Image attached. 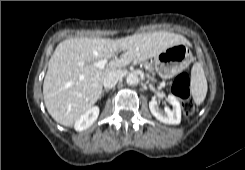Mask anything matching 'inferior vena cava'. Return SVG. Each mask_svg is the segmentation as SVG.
<instances>
[{"label":"inferior vena cava","mask_w":245,"mask_h":170,"mask_svg":"<svg viewBox=\"0 0 245 170\" xmlns=\"http://www.w3.org/2000/svg\"><path fill=\"white\" fill-rule=\"evenodd\" d=\"M124 71L111 72L103 80L105 89L113 88L117 82L124 76Z\"/></svg>","instance_id":"inferior-vena-cava-1"}]
</instances>
